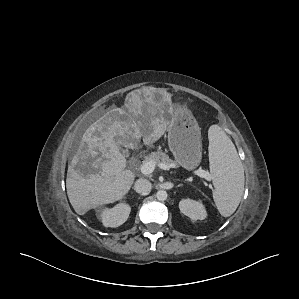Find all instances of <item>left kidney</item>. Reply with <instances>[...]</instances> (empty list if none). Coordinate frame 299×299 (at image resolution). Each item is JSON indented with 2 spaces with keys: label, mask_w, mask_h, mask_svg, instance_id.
<instances>
[{
  "label": "left kidney",
  "mask_w": 299,
  "mask_h": 299,
  "mask_svg": "<svg viewBox=\"0 0 299 299\" xmlns=\"http://www.w3.org/2000/svg\"><path fill=\"white\" fill-rule=\"evenodd\" d=\"M180 211L191 220H204L207 217L206 209L200 200L183 199L179 202Z\"/></svg>",
  "instance_id": "1"
}]
</instances>
